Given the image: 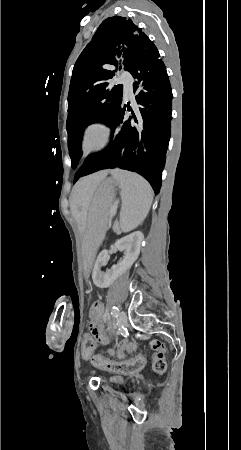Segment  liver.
Segmentation results:
<instances>
[{"mask_svg": "<svg viewBox=\"0 0 241 450\" xmlns=\"http://www.w3.org/2000/svg\"><path fill=\"white\" fill-rule=\"evenodd\" d=\"M110 170H102V172H96L86 178H80L79 182L75 184L71 194V210L73 214L82 208L83 214H86L90 202L102 180H105Z\"/></svg>", "mask_w": 241, "mask_h": 450, "instance_id": "6515ba94", "label": "liver"}]
</instances>
